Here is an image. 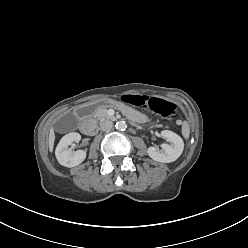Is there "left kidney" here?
<instances>
[{"label":"left kidney","mask_w":248,"mask_h":248,"mask_svg":"<svg viewBox=\"0 0 248 248\" xmlns=\"http://www.w3.org/2000/svg\"><path fill=\"white\" fill-rule=\"evenodd\" d=\"M161 136L170 142V144H162V150L157 147H149L147 150L148 155L155 161L162 163H170L177 160L183 152L184 142L182 138L176 133L163 130Z\"/></svg>","instance_id":"left-kidney-1"}]
</instances>
